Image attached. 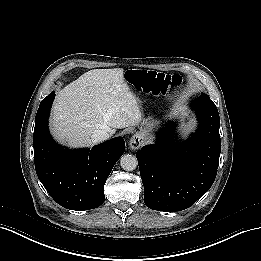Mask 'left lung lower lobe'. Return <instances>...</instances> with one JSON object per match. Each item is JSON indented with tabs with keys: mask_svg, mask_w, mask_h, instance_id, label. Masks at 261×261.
<instances>
[{
	"mask_svg": "<svg viewBox=\"0 0 261 261\" xmlns=\"http://www.w3.org/2000/svg\"><path fill=\"white\" fill-rule=\"evenodd\" d=\"M199 128L182 147L172 143L167 127L153 145L138 150L144 203L153 210L174 212L192 206L212 186L218 169L221 141L216 105L199 97L193 103Z\"/></svg>",
	"mask_w": 261,
	"mask_h": 261,
	"instance_id": "left-lung-lower-lobe-1",
	"label": "left lung lower lobe"
}]
</instances>
